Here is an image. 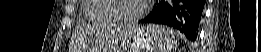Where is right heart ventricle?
<instances>
[{"mask_svg":"<svg viewBox=\"0 0 261 52\" xmlns=\"http://www.w3.org/2000/svg\"><path fill=\"white\" fill-rule=\"evenodd\" d=\"M113 0H86L84 16L94 24H114L117 22L111 9Z\"/></svg>","mask_w":261,"mask_h":52,"instance_id":"right-heart-ventricle-1","label":"right heart ventricle"}]
</instances>
